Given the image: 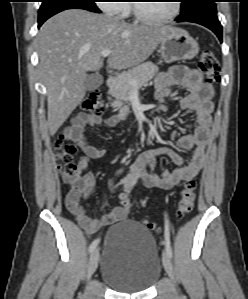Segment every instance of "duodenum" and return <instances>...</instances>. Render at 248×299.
<instances>
[{"instance_id": "duodenum-1", "label": "duodenum", "mask_w": 248, "mask_h": 299, "mask_svg": "<svg viewBox=\"0 0 248 299\" xmlns=\"http://www.w3.org/2000/svg\"><path fill=\"white\" fill-rule=\"evenodd\" d=\"M106 84L110 90L114 89L117 85V78L115 76H109L106 80ZM123 117H124L123 115L118 116L119 119Z\"/></svg>"}]
</instances>
